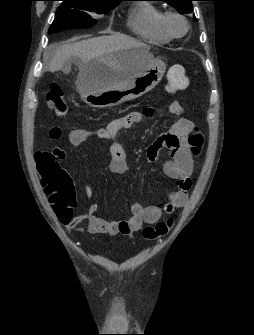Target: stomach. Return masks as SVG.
Wrapping results in <instances>:
<instances>
[{
  "label": "stomach",
  "instance_id": "stomach-1",
  "mask_svg": "<svg viewBox=\"0 0 254 335\" xmlns=\"http://www.w3.org/2000/svg\"><path fill=\"white\" fill-rule=\"evenodd\" d=\"M166 64L152 57L145 45L123 49L108 60H93L88 73L77 81L81 99L94 108L117 106L151 91L162 79ZM132 73L119 88L107 89L111 76Z\"/></svg>",
  "mask_w": 254,
  "mask_h": 335
}]
</instances>
